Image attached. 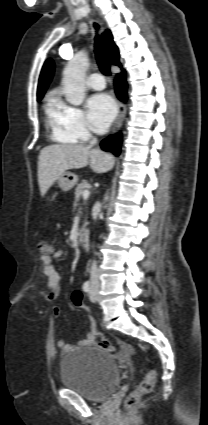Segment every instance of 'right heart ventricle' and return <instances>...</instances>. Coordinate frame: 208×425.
Listing matches in <instances>:
<instances>
[{
	"label": "right heart ventricle",
	"instance_id": "e07e8e85",
	"mask_svg": "<svg viewBox=\"0 0 208 425\" xmlns=\"http://www.w3.org/2000/svg\"><path fill=\"white\" fill-rule=\"evenodd\" d=\"M45 112L47 124L51 129V136L54 141L66 144L77 142L62 124L61 102L54 94L48 95L45 103Z\"/></svg>",
	"mask_w": 208,
	"mask_h": 425
}]
</instances>
